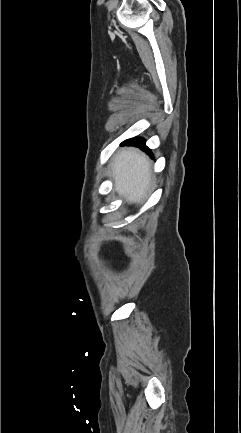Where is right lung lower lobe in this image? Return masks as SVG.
<instances>
[{
    "label": "right lung lower lobe",
    "instance_id": "1",
    "mask_svg": "<svg viewBox=\"0 0 241 433\" xmlns=\"http://www.w3.org/2000/svg\"><path fill=\"white\" fill-rule=\"evenodd\" d=\"M125 143L128 145H135L137 147H140L141 149H144L146 152L150 153V150L148 149V147L145 146V142L142 138H137V137L132 138L125 141Z\"/></svg>",
    "mask_w": 241,
    "mask_h": 433
}]
</instances>
